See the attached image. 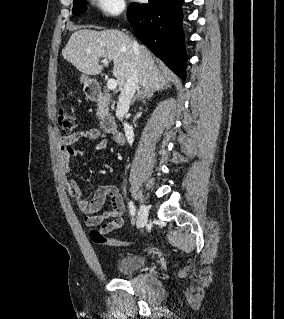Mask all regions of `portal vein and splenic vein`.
I'll return each mask as SVG.
<instances>
[{"label":"portal vein and splenic vein","instance_id":"portal-vein-and-splenic-vein-1","mask_svg":"<svg viewBox=\"0 0 284 319\" xmlns=\"http://www.w3.org/2000/svg\"><path fill=\"white\" fill-rule=\"evenodd\" d=\"M101 63H103L105 66H108V61L106 59L101 60ZM117 81L115 79H109L107 82V88L109 90H115L117 88Z\"/></svg>","mask_w":284,"mask_h":319}]
</instances>
